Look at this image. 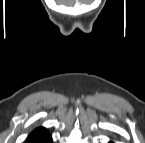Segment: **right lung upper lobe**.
<instances>
[{
    "label": "right lung upper lobe",
    "mask_w": 145,
    "mask_h": 143,
    "mask_svg": "<svg viewBox=\"0 0 145 143\" xmlns=\"http://www.w3.org/2000/svg\"><path fill=\"white\" fill-rule=\"evenodd\" d=\"M52 138L45 128L40 127L35 129L28 137L27 143H51Z\"/></svg>",
    "instance_id": "cb5924a9"
}]
</instances>
